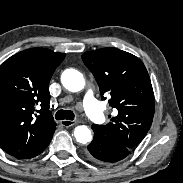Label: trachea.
Instances as JSON below:
<instances>
[{"mask_svg": "<svg viewBox=\"0 0 183 183\" xmlns=\"http://www.w3.org/2000/svg\"><path fill=\"white\" fill-rule=\"evenodd\" d=\"M57 120H74L75 114L71 110H59L55 114Z\"/></svg>", "mask_w": 183, "mask_h": 183, "instance_id": "3493384b", "label": "trachea"}]
</instances>
